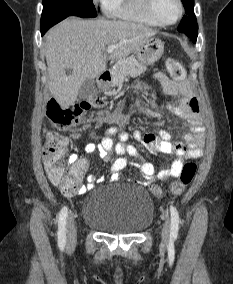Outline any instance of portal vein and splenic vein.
I'll return each instance as SVG.
<instances>
[{"instance_id":"obj_1","label":"portal vein and splenic vein","mask_w":233,"mask_h":284,"mask_svg":"<svg viewBox=\"0 0 233 284\" xmlns=\"http://www.w3.org/2000/svg\"><path fill=\"white\" fill-rule=\"evenodd\" d=\"M115 48H116L115 45H109V46L107 47V52H108V53H112V52L115 50Z\"/></svg>"}]
</instances>
